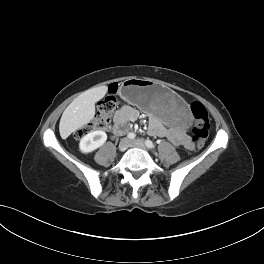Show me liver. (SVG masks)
Wrapping results in <instances>:
<instances>
[{
  "instance_id": "1",
  "label": "liver",
  "mask_w": 264,
  "mask_h": 264,
  "mask_svg": "<svg viewBox=\"0 0 264 264\" xmlns=\"http://www.w3.org/2000/svg\"><path fill=\"white\" fill-rule=\"evenodd\" d=\"M107 90V86L91 88L81 93L68 105L59 124L60 136L63 139L93 119L95 103L105 96Z\"/></svg>"
}]
</instances>
